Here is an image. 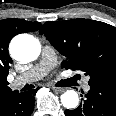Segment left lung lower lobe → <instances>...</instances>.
Wrapping results in <instances>:
<instances>
[{"mask_svg": "<svg viewBox=\"0 0 116 116\" xmlns=\"http://www.w3.org/2000/svg\"><path fill=\"white\" fill-rule=\"evenodd\" d=\"M66 116H116V86L90 85L82 103Z\"/></svg>", "mask_w": 116, "mask_h": 116, "instance_id": "0a47b994", "label": "left lung lower lobe"}]
</instances>
